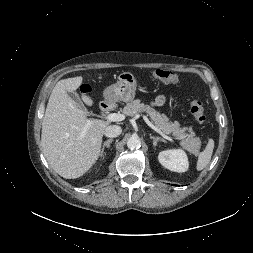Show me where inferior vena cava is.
Instances as JSON below:
<instances>
[{
    "label": "inferior vena cava",
    "mask_w": 253,
    "mask_h": 253,
    "mask_svg": "<svg viewBox=\"0 0 253 253\" xmlns=\"http://www.w3.org/2000/svg\"><path fill=\"white\" fill-rule=\"evenodd\" d=\"M122 129L117 125H110L105 128L104 135L106 137L114 138L121 134Z\"/></svg>",
    "instance_id": "602c4592"
}]
</instances>
